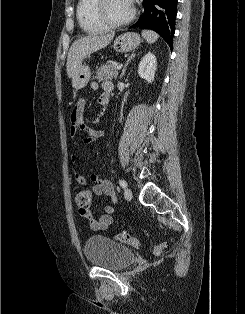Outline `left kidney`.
Segmentation results:
<instances>
[{
    "label": "left kidney",
    "mask_w": 245,
    "mask_h": 314,
    "mask_svg": "<svg viewBox=\"0 0 245 314\" xmlns=\"http://www.w3.org/2000/svg\"><path fill=\"white\" fill-rule=\"evenodd\" d=\"M157 70L156 56L152 52H148L141 59L138 66V74L142 79H145L148 83L154 81L155 72Z\"/></svg>",
    "instance_id": "1"
}]
</instances>
